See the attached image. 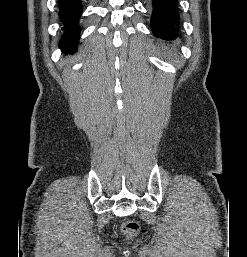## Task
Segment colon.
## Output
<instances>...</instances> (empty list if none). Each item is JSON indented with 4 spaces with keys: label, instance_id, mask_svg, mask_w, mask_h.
I'll list each match as a JSON object with an SVG mask.
<instances>
[{
    "label": "colon",
    "instance_id": "1",
    "mask_svg": "<svg viewBox=\"0 0 247 257\" xmlns=\"http://www.w3.org/2000/svg\"><path fill=\"white\" fill-rule=\"evenodd\" d=\"M139 230L140 226L138 222L134 220H127L122 224V231L129 238L135 237L138 234Z\"/></svg>",
    "mask_w": 247,
    "mask_h": 257
}]
</instances>
